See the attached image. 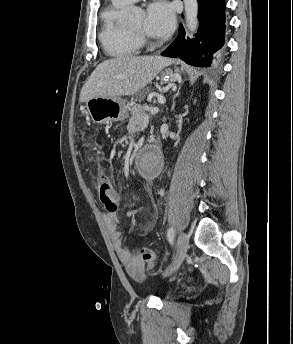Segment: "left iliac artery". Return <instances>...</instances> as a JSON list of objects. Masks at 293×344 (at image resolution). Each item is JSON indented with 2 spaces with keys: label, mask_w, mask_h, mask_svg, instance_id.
Masks as SVG:
<instances>
[{
  "label": "left iliac artery",
  "mask_w": 293,
  "mask_h": 344,
  "mask_svg": "<svg viewBox=\"0 0 293 344\" xmlns=\"http://www.w3.org/2000/svg\"><path fill=\"white\" fill-rule=\"evenodd\" d=\"M174 235H175V230H174V228H170V229L168 230V232H167V238H168V240H169V242H170L171 244H173Z\"/></svg>",
  "instance_id": "obj_1"
}]
</instances>
